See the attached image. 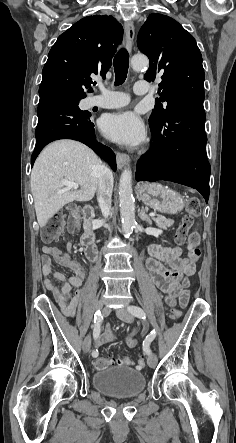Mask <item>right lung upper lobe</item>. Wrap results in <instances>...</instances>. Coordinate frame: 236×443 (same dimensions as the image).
Instances as JSON below:
<instances>
[{"label":"right lung upper lobe","instance_id":"right-lung-upper-lobe-1","mask_svg":"<svg viewBox=\"0 0 236 443\" xmlns=\"http://www.w3.org/2000/svg\"><path fill=\"white\" fill-rule=\"evenodd\" d=\"M122 36V26L112 16H87L76 22L52 46L39 95L86 96L87 90L92 92L90 75L105 77Z\"/></svg>","mask_w":236,"mask_h":443}]
</instances>
